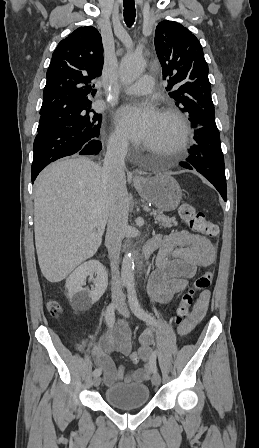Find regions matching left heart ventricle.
I'll return each instance as SVG.
<instances>
[{
	"instance_id": "obj_1",
	"label": "left heart ventricle",
	"mask_w": 259,
	"mask_h": 448,
	"mask_svg": "<svg viewBox=\"0 0 259 448\" xmlns=\"http://www.w3.org/2000/svg\"><path fill=\"white\" fill-rule=\"evenodd\" d=\"M177 126L174 120L159 116L157 123L144 136L147 144L155 151H163L176 138Z\"/></svg>"
}]
</instances>
